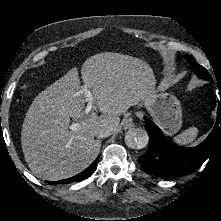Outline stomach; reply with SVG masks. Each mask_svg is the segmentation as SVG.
Instances as JSON below:
<instances>
[{
	"instance_id": "obj_1",
	"label": "stomach",
	"mask_w": 221,
	"mask_h": 221,
	"mask_svg": "<svg viewBox=\"0 0 221 221\" xmlns=\"http://www.w3.org/2000/svg\"><path fill=\"white\" fill-rule=\"evenodd\" d=\"M142 105L166 135H173L180 130L182 107L174 95L154 86L150 96L142 100Z\"/></svg>"
}]
</instances>
